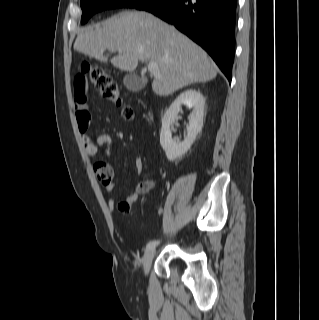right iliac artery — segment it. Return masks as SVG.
Listing matches in <instances>:
<instances>
[{
  "label": "right iliac artery",
  "mask_w": 319,
  "mask_h": 320,
  "mask_svg": "<svg viewBox=\"0 0 319 320\" xmlns=\"http://www.w3.org/2000/svg\"><path fill=\"white\" fill-rule=\"evenodd\" d=\"M158 244H159V240H152L147 244L146 250L154 249Z\"/></svg>",
  "instance_id": "82829eb1"
}]
</instances>
